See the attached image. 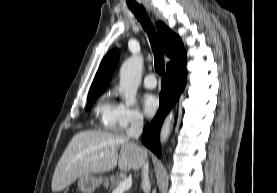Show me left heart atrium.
Here are the masks:
<instances>
[{
	"label": "left heart atrium",
	"instance_id": "39dd6f15",
	"mask_svg": "<svg viewBox=\"0 0 277 193\" xmlns=\"http://www.w3.org/2000/svg\"><path fill=\"white\" fill-rule=\"evenodd\" d=\"M141 105L144 114L148 117H151L156 113L159 103L155 95L146 93L141 98Z\"/></svg>",
	"mask_w": 277,
	"mask_h": 193
}]
</instances>
